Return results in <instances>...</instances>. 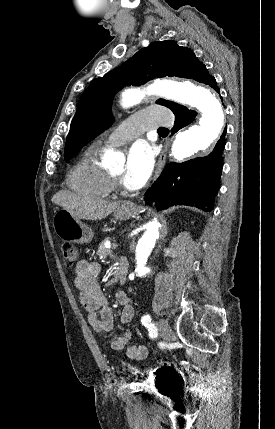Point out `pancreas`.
<instances>
[{
    "label": "pancreas",
    "mask_w": 275,
    "mask_h": 429,
    "mask_svg": "<svg viewBox=\"0 0 275 429\" xmlns=\"http://www.w3.org/2000/svg\"><path fill=\"white\" fill-rule=\"evenodd\" d=\"M111 254H112V250L106 248L105 241L101 242L98 247L97 255L107 257L108 255H111Z\"/></svg>",
    "instance_id": "obj_1"
}]
</instances>
